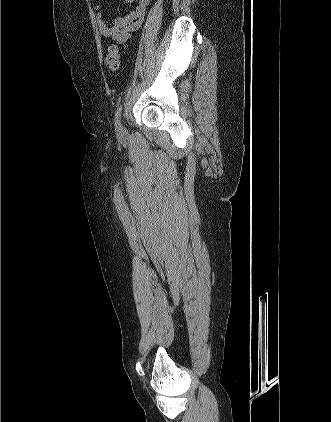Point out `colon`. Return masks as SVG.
Here are the masks:
<instances>
[{
    "label": "colon",
    "mask_w": 331,
    "mask_h": 422,
    "mask_svg": "<svg viewBox=\"0 0 331 422\" xmlns=\"http://www.w3.org/2000/svg\"><path fill=\"white\" fill-rule=\"evenodd\" d=\"M106 63L110 69H118L120 64V51L116 45H109L107 47Z\"/></svg>",
    "instance_id": "5ec220e1"
}]
</instances>
